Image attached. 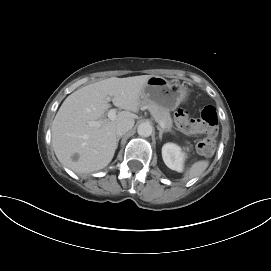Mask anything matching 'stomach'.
I'll use <instances>...</instances> for the list:
<instances>
[{
	"label": "stomach",
	"mask_w": 271,
	"mask_h": 271,
	"mask_svg": "<svg viewBox=\"0 0 271 271\" xmlns=\"http://www.w3.org/2000/svg\"><path fill=\"white\" fill-rule=\"evenodd\" d=\"M189 95L188 89L161 76H152L141 91L142 102L155 103L167 111L174 110Z\"/></svg>",
	"instance_id": "stomach-1"
}]
</instances>
